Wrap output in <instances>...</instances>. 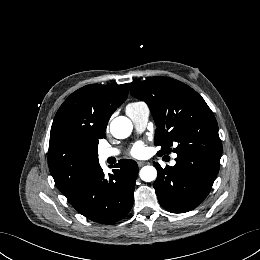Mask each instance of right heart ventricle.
<instances>
[{
	"label": "right heart ventricle",
	"mask_w": 260,
	"mask_h": 260,
	"mask_svg": "<svg viewBox=\"0 0 260 260\" xmlns=\"http://www.w3.org/2000/svg\"><path fill=\"white\" fill-rule=\"evenodd\" d=\"M134 104H142V103H134Z\"/></svg>",
	"instance_id": "right-heart-ventricle-1"
}]
</instances>
